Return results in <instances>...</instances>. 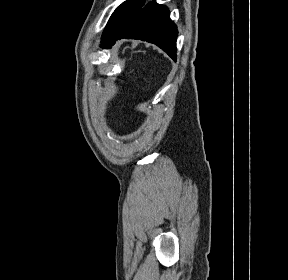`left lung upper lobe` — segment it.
Listing matches in <instances>:
<instances>
[{
  "instance_id": "obj_1",
  "label": "left lung upper lobe",
  "mask_w": 288,
  "mask_h": 280,
  "mask_svg": "<svg viewBox=\"0 0 288 280\" xmlns=\"http://www.w3.org/2000/svg\"><path fill=\"white\" fill-rule=\"evenodd\" d=\"M144 3V0H126L119 5L111 15L106 25L102 35L101 46L108 43L122 28L127 19Z\"/></svg>"
}]
</instances>
